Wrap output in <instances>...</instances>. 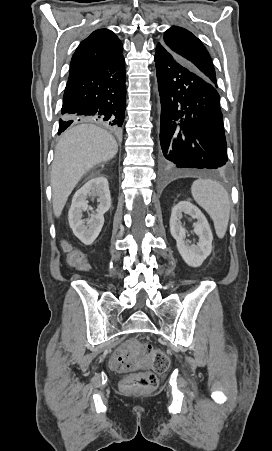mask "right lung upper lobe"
Masks as SVG:
<instances>
[{
  "label": "right lung upper lobe",
  "mask_w": 272,
  "mask_h": 451,
  "mask_svg": "<svg viewBox=\"0 0 272 451\" xmlns=\"http://www.w3.org/2000/svg\"><path fill=\"white\" fill-rule=\"evenodd\" d=\"M123 46L110 30L98 29L83 40L75 51L70 72L110 61L121 55Z\"/></svg>",
  "instance_id": "1"
}]
</instances>
